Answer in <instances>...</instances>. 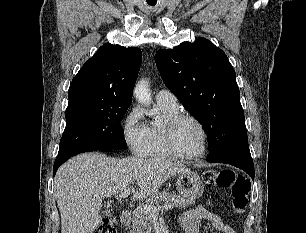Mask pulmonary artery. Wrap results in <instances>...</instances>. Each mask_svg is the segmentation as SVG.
I'll return each mask as SVG.
<instances>
[{
    "mask_svg": "<svg viewBox=\"0 0 306 233\" xmlns=\"http://www.w3.org/2000/svg\"><path fill=\"white\" fill-rule=\"evenodd\" d=\"M157 104L164 105L169 108H178V101L175 95L169 90L162 89L155 96Z\"/></svg>",
    "mask_w": 306,
    "mask_h": 233,
    "instance_id": "e3ab8cb5",
    "label": "pulmonary artery"
}]
</instances>
